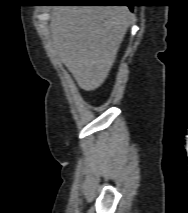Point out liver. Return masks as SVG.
Wrapping results in <instances>:
<instances>
[{"mask_svg":"<svg viewBox=\"0 0 188 213\" xmlns=\"http://www.w3.org/2000/svg\"><path fill=\"white\" fill-rule=\"evenodd\" d=\"M133 21L127 6H59L52 11V46L85 91L100 87Z\"/></svg>","mask_w":188,"mask_h":213,"instance_id":"6515ba94","label":"liver"}]
</instances>
